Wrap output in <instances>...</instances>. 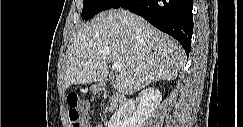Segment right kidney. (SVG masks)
Listing matches in <instances>:
<instances>
[{
	"instance_id": "1",
	"label": "right kidney",
	"mask_w": 243,
	"mask_h": 127,
	"mask_svg": "<svg viewBox=\"0 0 243 127\" xmlns=\"http://www.w3.org/2000/svg\"><path fill=\"white\" fill-rule=\"evenodd\" d=\"M162 100L161 92L156 88H146L139 93V106L134 100H129L111 117L108 127H142V124L154 113Z\"/></svg>"
}]
</instances>
